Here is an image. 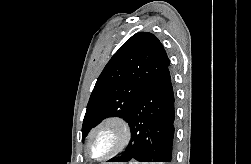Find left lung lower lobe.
Returning <instances> with one entry per match:
<instances>
[{
    "mask_svg": "<svg viewBox=\"0 0 251 164\" xmlns=\"http://www.w3.org/2000/svg\"><path fill=\"white\" fill-rule=\"evenodd\" d=\"M127 121L130 143L122 156L109 162L173 160L175 108L169 66L144 88Z\"/></svg>",
    "mask_w": 251,
    "mask_h": 164,
    "instance_id": "left-lung-lower-lobe-1",
    "label": "left lung lower lobe"
}]
</instances>
